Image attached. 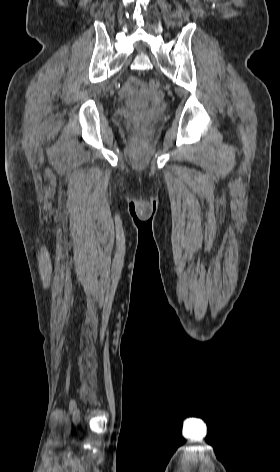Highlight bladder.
Masks as SVG:
<instances>
[{
    "instance_id": "bladder-1",
    "label": "bladder",
    "mask_w": 280,
    "mask_h": 472,
    "mask_svg": "<svg viewBox=\"0 0 280 472\" xmlns=\"http://www.w3.org/2000/svg\"><path fill=\"white\" fill-rule=\"evenodd\" d=\"M129 106L133 109H144L148 106L146 101L136 100L129 103Z\"/></svg>"
}]
</instances>
